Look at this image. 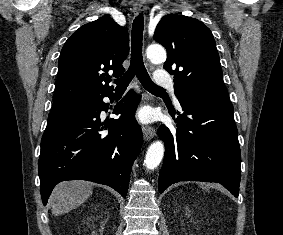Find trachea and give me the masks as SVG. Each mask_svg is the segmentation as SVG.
Listing matches in <instances>:
<instances>
[{"label":"trachea","mask_w":283,"mask_h":235,"mask_svg":"<svg viewBox=\"0 0 283 235\" xmlns=\"http://www.w3.org/2000/svg\"><path fill=\"white\" fill-rule=\"evenodd\" d=\"M144 18L140 13L133 21L132 33H131V61L130 66L126 73L116 79V90H124L136 75L143 85V87L151 92H164L165 90L160 86L152 82L149 74L143 63L142 57V40H143Z\"/></svg>","instance_id":"3493384b"}]
</instances>
